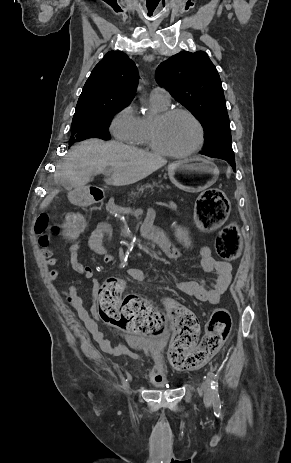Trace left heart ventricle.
<instances>
[{
	"label": "left heart ventricle",
	"mask_w": 291,
	"mask_h": 463,
	"mask_svg": "<svg viewBox=\"0 0 291 463\" xmlns=\"http://www.w3.org/2000/svg\"><path fill=\"white\" fill-rule=\"evenodd\" d=\"M157 125L159 142L174 152H184L198 141V128L185 115H177L168 120H153Z\"/></svg>",
	"instance_id": "1"
}]
</instances>
